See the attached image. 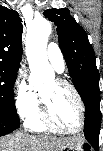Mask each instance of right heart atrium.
Listing matches in <instances>:
<instances>
[{
  "label": "right heart atrium",
  "instance_id": "1",
  "mask_svg": "<svg viewBox=\"0 0 103 151\" xmlns=\"http://www.w3.org/2000/svg\"><path fill=\"white\" fill-rule=\"evenodd\" d=\"M14 103L18 114L30 118L39 109V99L28 86L25 77L19 74L14 83Z\"/></svg>",
  "mask_w": 103,
  "mask_h": 151
}]
</instances>
